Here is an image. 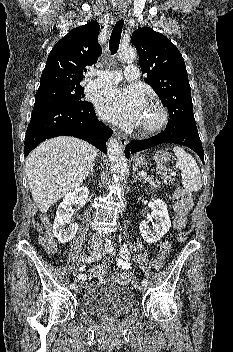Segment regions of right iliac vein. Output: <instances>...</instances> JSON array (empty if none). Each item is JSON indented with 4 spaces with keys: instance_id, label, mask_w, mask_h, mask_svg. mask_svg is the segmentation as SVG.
Segmentation results:
<instances>
[{
    "instance_id": "63e3f726",
    "label": "right iliac vein",
    "mask_w": 233,
    "mask_h": 352,
    "mask_svg": "<svg viewBox=\"0 0 233 352\" xmlns=\"http://www.w3.org/2000/svg\"><path fill=\"white\" fill-rule=\"evenodd\" d=\"M88 250H89L90 254H96V253L98 252V248H96L95 246H92V245L88 247ZM74 291H75L76 293L80 292L79 287H76V288L74 289Z\"/></svg>"
}]
</instances>
